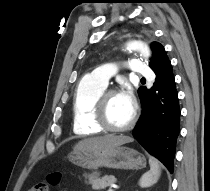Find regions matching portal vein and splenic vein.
<instances>
[{
  "label": "portal vein and splenic vein",
  "mask_w": 210,
  "mask_h": 191,
  "mask_svg": "<svg viewBox=\"0 0 210 191\" xmlns=\"http://www.w3.org/2000/svg\"><path fill=\"white\" fill-rule=\"evenodd\" d=\"M108 191H114L113 185L110 186V188L108 189Z\"/></svg>",
  "instance_id": "18ae733b"
}]
</instances>
